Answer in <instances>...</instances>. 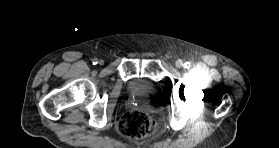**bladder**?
Returning a JSON list of instances; mask_svg holds the SVG:
<instances>
[{"label":"bladder","instance_id":"31cf9c89","mask_svg":"<svg viewBox=\"0 0 279 148\" xmlns=\"http://www.w3.org/2000/svg\"><path fill=\"white\" fill-rule=\"evenodd\" d=\"M129 91L144 99H152L158 93V87L146 78H135L129 83Z\"/></svg>","mask_w":279,"mask_h":148}]
</instances>
